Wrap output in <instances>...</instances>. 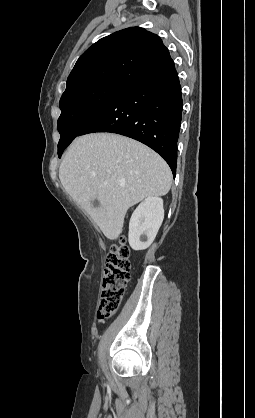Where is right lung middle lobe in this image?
<instances>
[{
  "instance_id": "1",
  "label": "right lung middle lobe",
  "mask_w": 255,
  "mask_h": 418,
  "mask_svg": "<svg viewBox=\"0 0 255 418\" xmlns=\"http://www.w3.org/2000/svg\"><path fill=\"white\" fill-rule=\"evenodd\" d=\"M127 85L112 81H96L79 85L62 95L58 131V156L79 135L92 118Z\"/></svg>"
}]
</instances>
